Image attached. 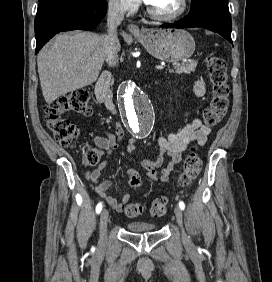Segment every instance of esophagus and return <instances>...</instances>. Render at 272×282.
<instances>
[{"label":"esophagus","instance_id":"obj_1","mask_svg":"<svg viewBox=\"0 0 272 282\" xmlns=\"http://www.w3.org/2000/svg\"><path fill=\"white\" fill-rule=\"evenodd\" d=\"M127 28L128 31L134 35L140 33V29L136 24L130 23Z\"/></svg>","mask_w":272,"mask_h":282}]
</instances>
